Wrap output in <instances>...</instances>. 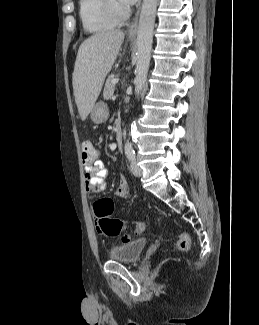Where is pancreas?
Listing matches in <instances>:
<instances>
[{
    "instance_id": "pancreas-1",
    "label": "pancreas",
    "mask_w": 259,
    "mask_h": 325,
    "mask_svg": "<svg viewBox=\"0 0 259 325\" xmlns=\"http://www.w3.org/2000/svg\"><path fill=\"white\" fill-rule=\"evenodd\" d=\"M114 79V76L111 75L107 78L104 91H103V97L105 100L110 99L113 96L115 85L112 83V80Z\"/></svg>"
}]
</instances>
